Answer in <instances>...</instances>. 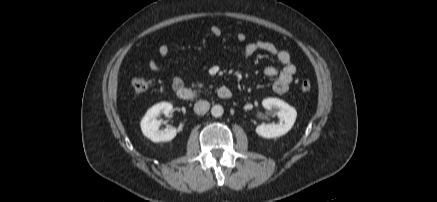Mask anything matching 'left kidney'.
Instances as JSON below:
<instances>
[{"label": "left kidney", "mask_w": 437, "mask_h": 202, "mask_svg": "<svg viewBox=\"0 0 437 202\" xmlns=\"http://www.w3.org/2000/svg\"><path fill=\"white\" fill-rule=\"evenodd\" d=\"M262 105L269 111H274L279 118L277 124H261L256 127V133L264 138H276L286 134L294 125L297 112L295 108L277 98H266Z\"/></svg>", "instance_id": "5707ae66"}]
</instances>
